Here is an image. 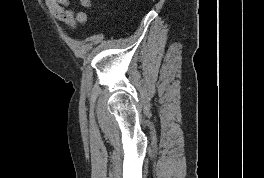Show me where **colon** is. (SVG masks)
I'll return each instance as SVG.
<instances>
[{
	"label": "colon",
	"mask_w": 264,
	"mask_h": 178,
	"mask_svg": "<svg viewBox=\"0 0 264 178\" xmlns=\"http://www.w3.org/2000/svg\"><path fill=\"white\" fill-rule=\"evenodd\" d=\"M79 2L83 8H90L92 6L93 0H79Z\"/></svg>",
	"instance_id": "colon-1"
}]
</instances>
